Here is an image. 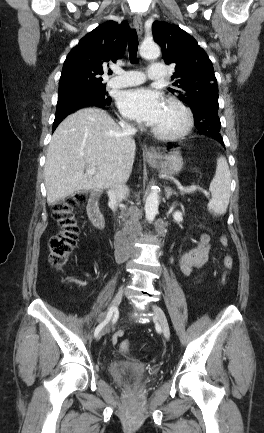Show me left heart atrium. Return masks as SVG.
Listing matches in <instances>:
<instances>
[{
  "label": "left heart atrium",
  "instance_id": "1",
  "mask_svg": "<svg viewBox=\"0 0 264 433\" xmlns=\"http://www.w3.org/2000/svg\"><path fill=\"white\" fill-rule=\"evenodd\" d=\"M117 103L125 116L149 126L159 122L166 106L162 95L148 88L124 91L119 95Z\"/></svg>",
  "mask_w": 264,
  "mask_h": 433
}]
</instances>
